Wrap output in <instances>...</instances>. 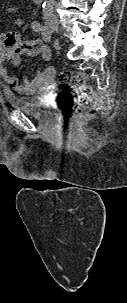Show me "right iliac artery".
I'll return each instance as SVG.
<instances>
[{
  "label": "right iliac artery",
  "mask_w": 127,
  "mask_h": 303,
  "mask_svg": "<svg viewBox=\"0 0 127 303\" xmlns=\"http://www.w3.org/2000/svg\"><path fill=\"white\" fill-rule=\"evenodd\" d=\"M48 17H49V13L44 14L43 19H44V27H43V39L46 42H49L51 40V35H52V31L48 26Z\"/></svg>",
  "instance_id": "82829eb1"
}]
</instances>
